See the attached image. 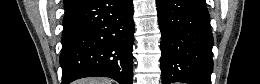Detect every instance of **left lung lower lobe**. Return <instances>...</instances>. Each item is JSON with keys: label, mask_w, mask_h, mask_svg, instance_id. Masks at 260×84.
Masks as SVG:
<instances>
[{"label": "left lung lower lobe", "mask_w": 260, "mask_h": 84, "mask_svg": "<svg viewBox=\"0 0 260 84\" xmlns=\"http://www.w3.org/2000/svg\"><path fill=\"white\" fill-rule=\"evenodd\" d=\"M162 84H210L213 36L205 0H157Z\"/></svg>", "instance_id": "0a47b994"}]
</instances>
